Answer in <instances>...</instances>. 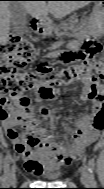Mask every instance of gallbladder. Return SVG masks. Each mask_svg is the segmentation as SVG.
I'll list each match as a JSON object with an SVG mask.
<instances>
[{"label": "gallbladder", "instance_id": "obj_1", "mask_svg": "<svg viewBox=\"0 0 104 189\" xmlns=\"http://www.w3.org/2000/svg\"><path fill=\"white\" fill-rule=\"evenodd\" d=\"M9 9L11 12L12 30L18 35L25 34L27 32V12L21 2H11Z\"/></svg>", "mask_w": 104, "mask_h": 189}]
</instances>
